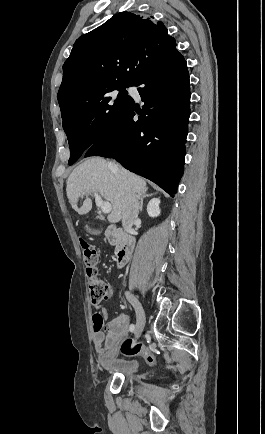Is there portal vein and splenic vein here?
<instances>
[{
	"mask_svg": "<svg viewBox=\"0 0 265 434\" xmlns=\"http://www.w3.org/2000/svg\"><path fill=\"white\" fill-rule=\"evenodd\" d=\"M94 196H95V204L96 206H98V208H100V210H102L103 214H110L112 210V206L110 202H103L101 196H99L97 192H94Z\"/></svg>",
	"mask_w": 265,
	"mask_h": 434,
	"instance_id": "18ae733b",
	"label": "portal vein and splenic vein"
}]
</instances>
